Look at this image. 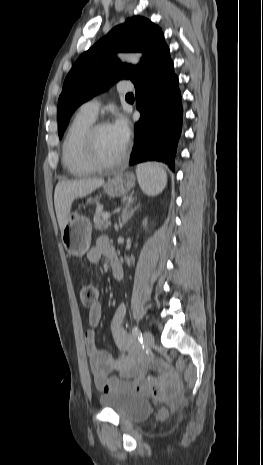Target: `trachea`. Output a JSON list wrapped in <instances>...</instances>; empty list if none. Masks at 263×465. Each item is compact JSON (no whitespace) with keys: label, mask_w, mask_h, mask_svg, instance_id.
<instances>
[{"label":"trachea","mask_w":263,"mask_h":465,"mask_svg":"<svg viewBox=\"0 0 263 465\" xmlns=\"http://www.w3.org/2000/svg\"><path fill=\"white\" fill-rule=\"evenodd\" d=\"M127 97H133V94L132 93H129L126 95Z\"/></svg>","instance_id":"obj_1"}]
</instances>
